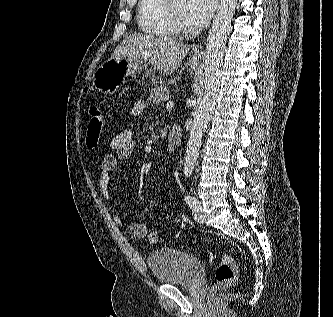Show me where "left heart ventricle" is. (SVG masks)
<instances>
[{
    "label": "left heart ventricle",
    "instance_id": "obj_1",
    "mask_svg": "<svg viewBox=\"0 0 333 317\" xmlns=\"http://www.w3.org/2000/svg\"><path fill=\"white\" fill-rule=\"evenodd\" d=\"M185 5H186V0H172L171 1V6H172L173 11L183 21H185V17H184Z\"/></svg>",
    "mask_w": 333,
    "mask_h": 317
}]
</instances>
